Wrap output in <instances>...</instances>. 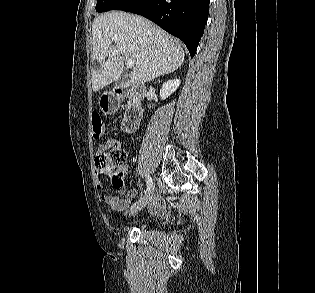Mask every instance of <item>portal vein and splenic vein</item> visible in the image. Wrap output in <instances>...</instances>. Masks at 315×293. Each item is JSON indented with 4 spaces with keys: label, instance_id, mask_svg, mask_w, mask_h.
<instances>
[{
    "label": "portal vein and splenic vein",
    "instance_id": "1",
    "mask_svg": "<svg viewBox=\"0 0 315 293\" xmlns=\"http://www.w3.org/2000/svg\"><path fill=\"white\" fill-rule=\"evenodd\" d=\"M127 64H128L129 67H134L136 63H135V61L133 59L129 58L127 60Z\"/></svg>",
    "mask_w": 315,
    "mask_h": 293
}]
</instances>
